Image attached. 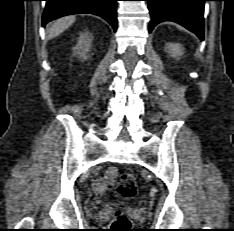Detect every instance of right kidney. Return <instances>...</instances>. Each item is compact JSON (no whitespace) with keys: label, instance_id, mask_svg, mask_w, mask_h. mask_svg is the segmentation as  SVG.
Wrapping results in <instances>:
<instances>
[{"label":"right kidney","instance_id":"ca27d5eb","mask_svg":"<svg viewBox=\"0 0 234 231\" xmlns=\"http://www.w3.org/2000/svg\"><path fill=\"white\" fill-rule=\"evenodd\" d=\"M92 38L89 33L81 34L78 40V44L74 48V55H78L81 59H87V53L91 47Z\"/></svg>","mask_w":234,"mask_h":231}]
</instances>
